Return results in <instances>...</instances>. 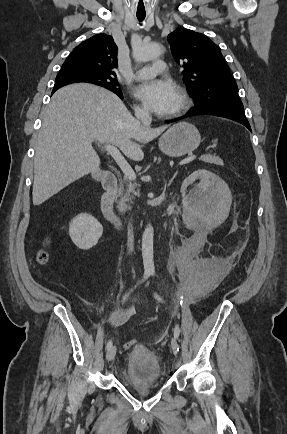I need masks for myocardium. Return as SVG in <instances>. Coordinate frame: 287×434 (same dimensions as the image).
Instances as JSON below:
<instances>
[{
    "instance_id": "f54148a6",
    "label": "myocardium",
    "mask_w": 287,
    "mask_h": 434,
    "mask_svg": "<svg viewBox=\"0 0 287 434\" xmlns=\"http://www.w3.org/2000/svg\"><path fill=\"white\" fill-rule=\"evenodd\" d=\"M179 106L173 110L169 116L177 117L183 114L190 106V99L183 89H179Z\"/></svg>"
}]
</instances>
